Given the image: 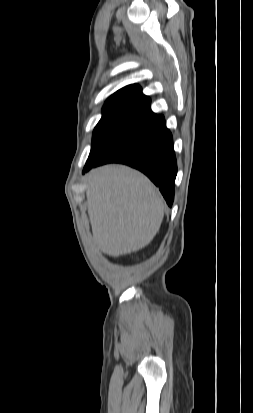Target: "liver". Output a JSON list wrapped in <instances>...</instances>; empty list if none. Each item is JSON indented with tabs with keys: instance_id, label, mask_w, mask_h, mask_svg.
Segmentation results:
<instances>
[{
	"instance_id": "liver-1",
	"label": "liver",
	"mask_w": 253,
	"mask_h": 413,
	"mask_svg": "<svg viewBox=\"0 0 253 413\" xmlns=\"http://www.w3.org/2000/svg\"><path fill=\"white\" fill-rule=\"evenodd\" d=\"M93 240L98 250L118 257L147 246L164 217L159 190L142 173L124 165L93 170L86 190Z\"/></svg>"
}]
</instances>
